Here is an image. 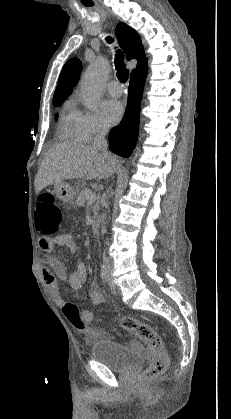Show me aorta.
I'll list each match as a JSON object with an SVG mask.
<instances>
[{"instance_id":"1","label":"aorta","mask_w":231,"mask_h":419,"mask_svg":"<svg viewBox=\"0 0 231 419\" xmlns=\"http://www.w3.org/2000/svg\"><path fill=\"white\" fill-rule=\"evenodd\" d=\"M108 73L109 63L103 57H99L85 72L81 81V95L88 109H96Z\"/></svg>"}]
</instances>
